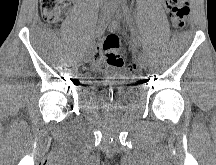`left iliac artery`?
Listing matches in <instances>:
<instances>
[{
  "mask_svg": "<svg viewBox=\"0 0 216 165\" xmlns=\"http://www.w3.org/2000/svg\"><path fill=\"white\" fill-rule=\"evenodd\" d=\"M123 13H124V17H125L127 23L130 25L131 30L134 34L135 43L139 45L140 44V38L138 36L137 30L134 27L133 19L131 17L130 11H129L127 6H123Z\"/></svg>",
  "mask_w": 216,
  "mask_h": 165,
  "instance_id": "44dca946",
  "label": "left iliac artery"
}]
</instances>
